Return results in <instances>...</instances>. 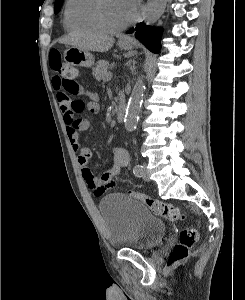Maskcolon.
<instances>
[{
  "instance_id": "1",
  "label": "colon",
  "mask_w": 245,
  "mask_h": 300,
  "mask_svg": "<svg viewBox=\"0 0 245 300\" xmlns=\"http://www.w3.org/2000/svg\"><path fill=\"white\" fill-rule=\"evenodd\" d=\"M49 65L52 71L56 73L63 83L64 87L70 91L74 92L77 88V82L75 77L77 75V70L70 64L63 62L61 54L57 50L50 52ZM85 106V102L82 100H74L73 107L76 110H81ZM131 196L142 201L149 210L160 217H163L169 221H179L185 218V214L176 206L165 203L160 200L151 198L147 195L138 192H129ZM198 239V232L193 228H185L181 231L179 237V243L174 247L168 261L169 266L184 260L190 252V249L194 246Z\"/></svg>"
}]
</instances>
